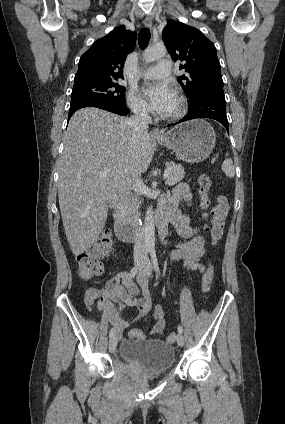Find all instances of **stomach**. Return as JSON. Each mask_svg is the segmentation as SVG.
<instances>
[{
  "instance_id": "obj_1",
  "label": "stomach",
  "mask_w": 285,
  "mask_h": 424,
  "mask_svg": "<svg viewBox=\"0 0 285 424\" xmlns=\"http://www.w3.org/2000/svg\"><path fill=\"white\" fill-rule=\"evenodd\" d=\"M156 141L171 149L178 159L198 163L205 160L212 152L216 134L208 122L197 119L174 127Z\"/></svg>"
}]
</instances>
